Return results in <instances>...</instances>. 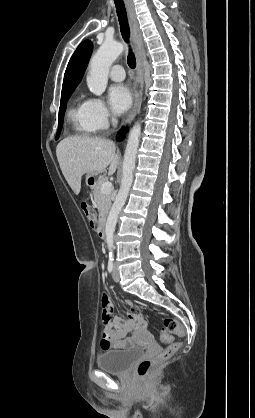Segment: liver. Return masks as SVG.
Instances as JSON below:
<instances>
[{
    "label": "liver",
    "mask_w": 255,
    "mask_h": 418,
    "mask_svg": "<svg viewBox=\"0 0 255 418\" xmlns=\"http://www.w3.org/2000/svg\"><path fill=\"white\" fill-rule=\"evenodd\" d=\"M115 143L109 139L87 136L67 137L56 147L61 171L75 194L81 189L85 173L100 174L109 166L113 175L118 166Z\"/></svg>",
    "instance_id": "6515ba94"
}]
</instances>
